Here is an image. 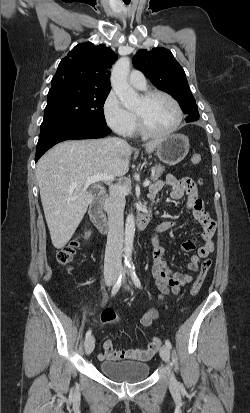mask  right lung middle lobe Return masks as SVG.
<instances>
[{
  "instance_id": "dd1d6c3e",
  "label": "right lung middle lobe",
  "mask_w": 250,
  "mask_h": 413,
  "mask_svg": "<svg viewBox=\"0 0 250 413\" xmlns=\"http://www.w3.org/2000/svg\"><path fill=\"white\" fill-rule=\"evenodd\" d=\"M109 92L77 85L50 89L40 135L68 124L107 126L103 106Z\"/></svg>"
}]
</instances>
